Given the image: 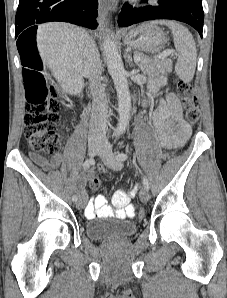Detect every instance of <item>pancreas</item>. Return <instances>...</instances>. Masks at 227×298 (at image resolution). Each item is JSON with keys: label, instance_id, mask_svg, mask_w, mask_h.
<instances>
[{"label": "pancreas", "instance_id": "obj_1", "mask_svg": "<svg viewBox=\"0 0 227 298\" xmlns=\"http://www.w3.org/2000/svg\"><path fill=\"white\" fill-rule=\"evenodd\" d=\"M142 60L137 63L144 75L164 74L172 71V61L166 58H150L142 53H136Z\"/></svg>", "mask_w": 227, "mask_h": 298}]
</instances>
